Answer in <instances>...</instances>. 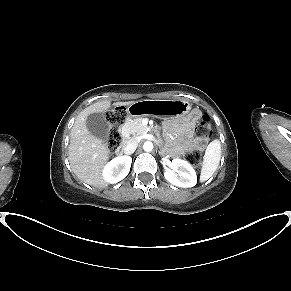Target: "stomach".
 <instances>
[{"label":"stomach","instance_id":"obj_1","mask_svg":"<svg viewBox=\"0 0 291 291\" xmlns=\"http://www.w3.org/2000/svg\"><path fill=\"white\" fill-rule=\"evenodd\" d=\"M191 105L185 100H142L127 107L128 118L153 116L156 118H184Z\"/></svg>","mask_w":291,"mask_h":291}]
</instances>
